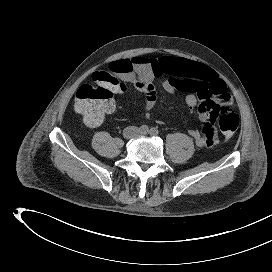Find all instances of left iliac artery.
<instances>
[{
    "mask_svg": "<svg viewBox=\"0 0 272 272\" xmlns=\"http://www.w3.org/2000/svg\"><path fill=\"white\" fill-rule=\"evenodd\" d=\"M149 134L151 135V136H156V135H158L159 134V131H158V129L157 128H151L150 130H149Z\"/></svg>",
    "mask_w": 272,
    "mask_h": 272,
    "instance_id": "obj_1",
    "label": "left iliac artery"
}]
</instances>
